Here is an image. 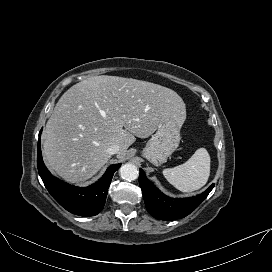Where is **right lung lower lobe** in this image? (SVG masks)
Masks as SVG:
<instances>
[{"mask_svg":"<svg viewBox=\"0 0 272 272\" xmlns=\"http://www.w3.org/2000/svg\"><path fill=\"white\" fill-rule=\"evenodd\" d=\"M40 134L41 131L39 136ZM120 166L121 164L110 166L102 178L91 186L75 187L57 179L47 170L42 160L40 139L38 141L37 167L45 187L63 208L79 216H94L102 210L111 179Z\"/></svg>","mask_w":272,"mask_h":272,"instance_id":"1","label":"right lung lower lobe"}]
</instances>
